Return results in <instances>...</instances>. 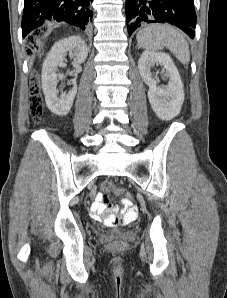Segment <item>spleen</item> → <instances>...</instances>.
I'll return each instance as SVG.
<instances>
[{"label": "spleen", "instance_id": "obj_1", "mask_svg": "<svg viewBox=\"0 0 227 298\" xmlns=\"http://www.w3.org/2000/svg\"><path fill=\"white\" fill-rule=\"evenodd\" d=\"M140 48L148 51L168 48L183 64L190 61L189 45L185 37L175 28L166 24H151L137 33Z\"/></svg>", "mask_w": 227, "mask_h": 298}]
</instances>
